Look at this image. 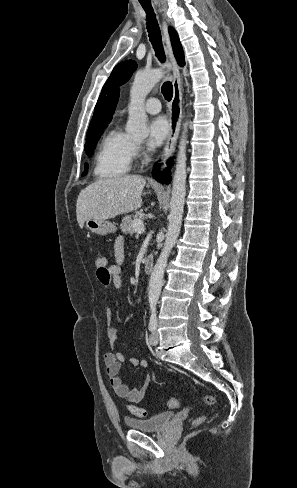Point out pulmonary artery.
<instances>
[{
	"label": "pulmonary artery",
	"mask_w": 297,
	"mask_h": 488,
	"mask_svg": "<svg viewBox=\"0 0 297 488\" xmlns=\"http://www.w3.org/2000/svg\"><path fill=\"white\" fill-rule=\"evenodd\" d=\"M144 108L150 114H157L161 111V104L157 98H148Z\"/></svg>",
	"instance_id": "pulmonary-artery-1"
}]
</instances>
